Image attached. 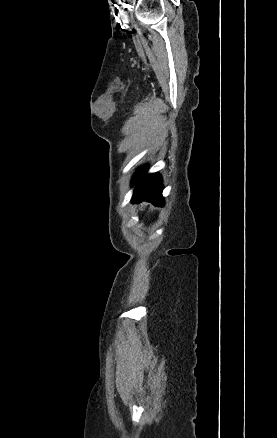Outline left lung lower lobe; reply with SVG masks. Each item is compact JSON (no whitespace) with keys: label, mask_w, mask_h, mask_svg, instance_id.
<instances>
[{"label":"left lung lower lobe","mask_w":277,"mask_h":438,"mask_svg":"<svg viewBox=\"0 0 277 438\" xmlns=\"http://www.w3.org/2000/svg\"><path fill=\"white\" fill-rule=\"evenodd\" d=\"M146 171L147 169L142 167L133 178L132 184H138V186L134 190L132 202L147 201L157 206H163L162 179L157 173L146 175Z\"/></svg>","instance_id":"1"}]
</instances>
